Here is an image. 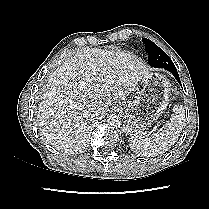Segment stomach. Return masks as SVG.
I'll use <instances>...</instances> for the list:
<instances>
[{
  "mask_svg": "<svg viewBox=\"0 0 209 209\" xmlns=\"http://www.w3.org/2000/svg\"><path fill=\"white\" fill-rule=\"evenodd\" d=\"M141 88L134 101L125 102L126 131H143L151 127L168 106L170 83L159 73H149L142 78Z\"/></svg>",
  "mask_w": 209,
  "mask_h": 209,
  "instance_id": "stomach-1",
  "label": "stomach"
}]
</instances>
